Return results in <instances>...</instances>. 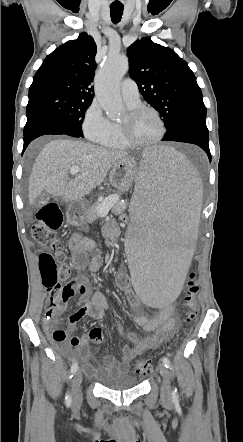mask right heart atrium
<instances>
[{
	"label": "right heart atrium",
	"mask_w": 243,
	"mask_h": 442,
	"mask_svg": "<svg viewBox=\"0 0 243 442\" xmlns=\"http://www.w3.org/2000/svg\"><path fill=\"white\" fill-rule=\"evenodd\" d=\"M111 123L105 116L97 101H93L85 111L82 121L84 136L92 141L99 142L110 131Z\"/></svg>",
	"instance_id": "d8ad5b80"
}]
</instances>
